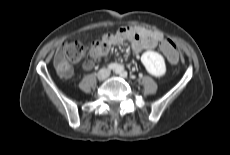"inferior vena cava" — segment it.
<instances>
[{"mask_svg":"<svg viewBox=\"0 0 230 155\" xmlns=\"http://www.w3.org/2000/svg\"><path fill=\"white\" fill-rule=\"evenodd\" d=\"M110 75V71L109 70H105V75L103 76V78H106Z\"/></svg>","mask_w":230,"mask_h":155,"instance_id":"inferior-vena-cava-1","label":"inferior vena cava"}]
</instances>
